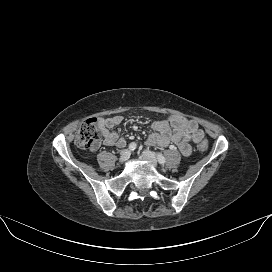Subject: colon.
Instances as JSON below:
<instances>
[{
  "label": "colon",
  "instance_id": "colon-1",
  "mask_svg": "<svg viewBox=\"0 0 272 272\" xmlns=\"http://www.w3.org/2000/svg\"><path fill=\"white\" fill-rule=\"evenodd\" d=\"M101 138L102 131L97 126V120L91 118L83 122L76 134L75 142L81 148H89ZM198 148L201 151H206L208 149L207 141H202Z\"/></svg>",
  "mask_w": 272,
  "mask_h": 272
}]
</instances>
